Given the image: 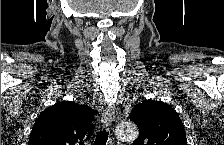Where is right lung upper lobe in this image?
<instances>
[{
  "instance_id": "1",
  "label": "right lung upper lobe",
  "mask_w": 224,
  "mask_h": 145,
  "mask_svg": "<svg viewBox=\"0 0 224 145\" xmlns=\"http://www.w3.org/2000/svg\"><path fill=\"white\" fill-rule=\"evenodd\" d=\"M95 113L74 101L58 102L39 115L28 145H83L94 131Z\"/></svg>"
}]
</instances>
